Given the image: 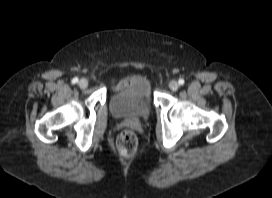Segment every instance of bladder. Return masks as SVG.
Returning a JSON list of instances; mask_svg holds the SVG:
<instances>
[{
  "label": "bladder",
  "mask_w": 272,
  "mask_h": 198,
  "mask_svg": "<svg viewBox=\"0 0 272 198\" xmlns=\"http://www.w3.org/2000/svg\"><path fill=\"white\" fill-rule=\"evenodd\" d=\"M151 89L149 85L138 84L120 89L111 95L109 110L119 120L146 119L151 110Z\"/></svg>",
  "instance_id": "31cf9c89"
}]
</instances>
